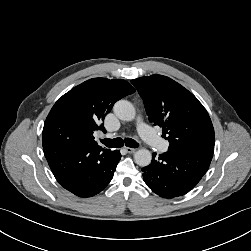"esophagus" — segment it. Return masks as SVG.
<instances>
[{"instance_id": "obj_1", "label": "esophagus", "mask_w": 251, "mask_h": 251, "mask_svg": "<svg viewBox=\"0 0 251 251\" xmlns=\"http://www.w3.org/2000/svg\"><path fill=\"white\" fill-rule=\"evenodd\" d=\"M125 150H126V152L127 153H134V152H136V148H131V147H125Z\"/></svg>"}]
</instances>
